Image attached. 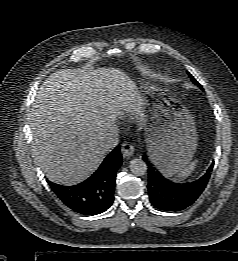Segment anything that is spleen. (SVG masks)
I'll use <instances>...</instances> for the list:
<instances>
[{
    "mask_svg": "<svg viewBox=\"0 0 238 261\" xmlns=\"http://www.w3.org/2000/svg\"><path fill=\"white\" fill-rule=\"evenodd\" d=\"M197 165V161H193L189 166L184 168L180 173L177 174L176 179L184 180L192 174Z\"/></svg>",
    "mask_w": 238,
    "mask_h": 261,
    "instance_id": "1",
    "label": "spleen"
}]
</instances>
